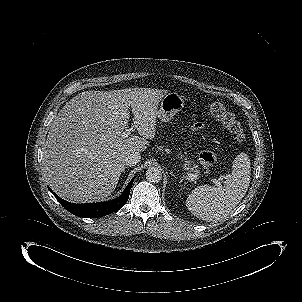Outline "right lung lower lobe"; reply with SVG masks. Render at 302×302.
I'll list each match as a JSON object with an SVG mask.
<instances>
[{"label":"right lung lower lobe","mask_w":302,"mask_h":302,"mask_svg":"<svg viewBox=\"0 0 302 302\" xmlns=\"http://www.w3.org/2000/svg\"><path fill=\"white\" fill-rule=\"evenodd\" d=\"M133 181L134 178L129 182L123 193L117 199L102 203L74 204L63 200L51 189L49 190L56 197L59 203L72 214L79 217L95 218L108 215L122 208L129 199V193Z\"/></svg>","instance_id":"98d812e1"}]
</instances>
